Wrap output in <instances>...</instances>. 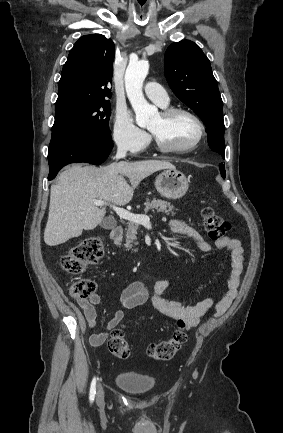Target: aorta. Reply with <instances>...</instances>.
Listing matches in <instances>:
<instances>
[{
	"instance_id": "762f6f07",
	"label": "aorta",
	"mask_w": 283,
	"mask_h": 433,
	"mask_svg": "<svg viewBox=\"0 0 283 433\" xmlns=\"http://www.w3.org/2000/svg\"><path fill=\"white\" fill-rule=\"evenodd\" d=\"M149 63L139 60L129 63L125 73V89L127 97L136 114V123L139 126L148 125L157 115L158 110L150 105L142 91L143 82L148 74Z\"/></svg>"
}]
</instances>
